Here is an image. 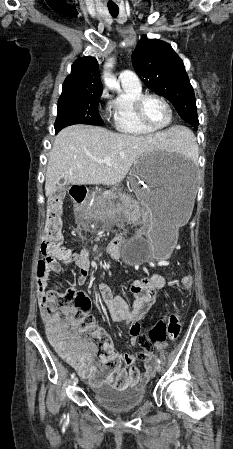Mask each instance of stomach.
Listing matches in <instances>:
<instances>
[{
	"instance_id": "stomach-1",
	"label": "stomach",
	"mask_w": 233,
	"mask_h": 449,
	"mask_svg": "<svg viewBox=\"0 0 233 449\" xmlns=\"http://www.w3.org/2000/svg\"><path fill=\"white\" fill-rule=\"evenodd\" d=\"M128 180L148 213L143 228L124 246L126 259L137 263L150 259L152 253L164 255L173 249L178 228L192 214L196 170L186 159L151 152L134 163Z\"/></svg>"
}]
</instances>
